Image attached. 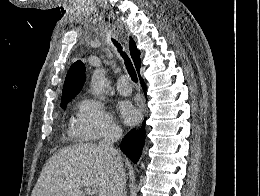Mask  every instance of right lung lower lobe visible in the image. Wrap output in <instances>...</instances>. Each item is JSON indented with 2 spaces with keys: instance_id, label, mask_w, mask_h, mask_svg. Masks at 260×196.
I'll list each match as a JSON object with an SVG mask.
<instances>
[{
  "instance_id": "1",
  "label": "right lung lower lobe",
  "mask_w": 260,
  "mask_h": 196,
  "mask_svg": "<svg viewBox=\"0 0 260 196\" xmlns=\"http://www.w3.org/2000/svg\"><path fill=\"white\" fill-rule=\"evenodd\" d=\"M141 85L146 93V85L140 78ZM145 143V122L139 130L132 129L121 142V151L125 153L134 163H137Z\"/></svg>"
}]
</instances>
